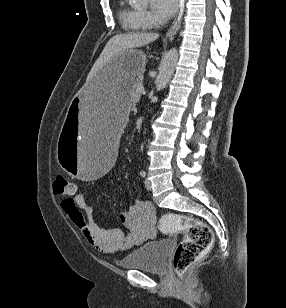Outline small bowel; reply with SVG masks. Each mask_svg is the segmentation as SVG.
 Returning a JSON list of instances; mask_svg holds the SVG:
<instances>
[{"label": "small bowel", "instance_id": "small-bowel-1", "mask_svg": "<svg viewBox=\"0 0 286 308\" xmlns=\"http://www.w3.org/2000/svg\"><path fill=\"white\" fill-rule=\"evenodd\" d=\"M61 207L87 243L101 252L129 250L156 234L155 209L149 201L137 199L127 210L120 213L119 219L127 230L126 234L119 228H100L93 220L92 208L84 192L64 198Z\"/></svg>", "mask_w": 286, "mask_h": 308}]
</instances>
